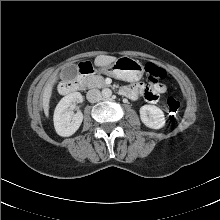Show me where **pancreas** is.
<instances>
[{
    "instance_id": "pancreas-1",
    "label": "pancreas",
    "mask_w": 220,
    "mask_h": 220,
    "mask_svg": "<svg viewBox=\"0 0 220 220\" xmlns=\"http://www.w3.org/2000/svg\"><path fill=\"white\" fill-rule=\"evenodd\" d=\"M84 86L88 88H104L107 86L105 78L101 75H90L83 79Z\"/></svg>"
}]
</instances>
